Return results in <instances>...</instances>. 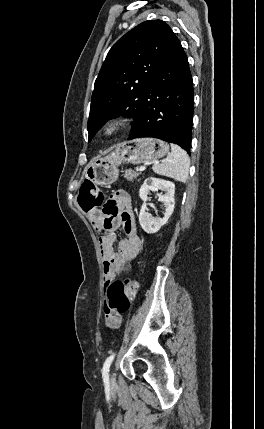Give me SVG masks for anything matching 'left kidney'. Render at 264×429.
<instances>
[{"mask_svg": "<svg viewBox=\"0 0 264 429\" xmlns=\"http://www.w3.org/2000/svg\"><path fill=\"white\" fill-rule=\"evenodd\" d=\"M151 191L162 190L165 194H158L159 201L164 203L166 209L164 216L153 217L146 212V201L148 194ZM174 193L175 186L172 182L154 177L147 178L139 190V196L143 200V205L139 214V223L142 229L148 233L153 234L158 232L163 225H165L174 211Z\"/></svg>", "mask_w": 264, "mask_h": 429, "instance_id": "obj_1", "label": "left kidney"}]
</instances>
